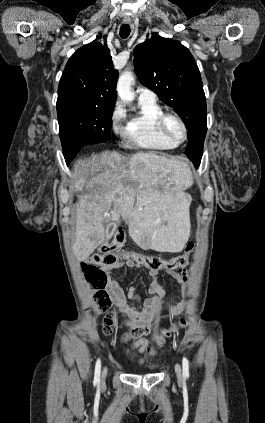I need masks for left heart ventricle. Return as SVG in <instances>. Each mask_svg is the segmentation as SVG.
I'll list each match as a JSON object with an SVG mask.
<instances>
[{"label":"left heart ventricle","instance_id":"obj_1","mask_svg":"<svg viewBox=\"0 0 265 423\" xmlns=\"http://www.w3.org/2000/svg\"><path fill=\"white\" fill-rule=\"evenodd\" d=\"M168 129L174 137L180 138L182 136V127L176 120L170 119L168 121Z\"/></svg>","mask_w":265,"mask_h":423}]
</instances>
